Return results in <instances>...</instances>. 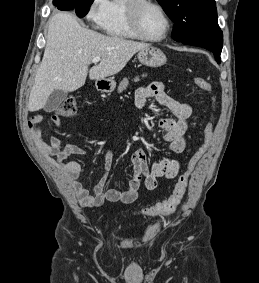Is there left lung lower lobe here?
I'll return each mask as SVG.
<instances>
[{
  "label": "left lung lower lobe",
  "mask_w": 259,
  "mask_h": 283,
  "mask_svg": "<svg viewBox=\"0 0 259 283\" xmlns=\"http://www.w3.org/2000/svg\"><path fill=\"white\" fill-rule=\"evenodd\" d=\"M182 43L187 44V45L199 46V47L208 49L209 51L213 52L216 58V61L218 63L221 62L220 54H221L222 46H223V34L221 30H219L218 32L214 34L183 41Z\"/></svg>",
  "instance_id": "obj_1"
}]
</instances>
